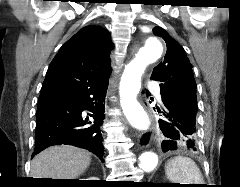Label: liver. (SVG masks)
<instances>
[{
  "mask_svg": "<svg viewBox=\"0 0 240 187\" xmlns=\"http://www.w3.org/2000/svg\"><path fill=\"white\" fill-rule=\"evenodd\" d=\"M90 154L83 149L61 145L40 152L31 162V178L76 179L90 165Z\"/></svg>",
  "mask_w": 240,
  "mask_h": 187,
  "instance_id": "1",
  "label": "liver"
}]
</instances>
